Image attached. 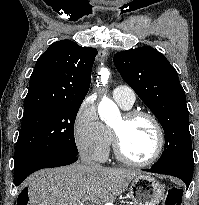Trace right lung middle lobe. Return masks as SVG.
<instances>
[{"mask_svg": "<svg viewBox=\"0 0 199 205\" xmlns=\"http://www.w3.org/2000/svg\"><path fill=\"white\" fill-rule=\"evenodd\" d=\"M81 103H55L24 111L14 169L50 153L77 156L74 122Z\"/></svg>", "mask_w": 199, "mask_h": 205, "instance_id": "right-lung-middle-lobe-1", "label": "right lung middle lobe"}]
</instances>
